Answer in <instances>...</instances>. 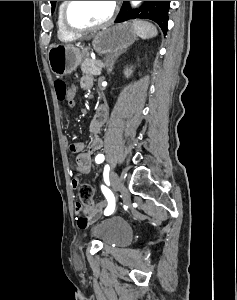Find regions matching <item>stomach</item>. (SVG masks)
Returning a JSON list of instances; mask_svg holds the SVG:
<instances>
[{"instance_id":"0dacf381","label":"stomach","mask_w":237,"mask_h":300,"mask_svg":"<svg viewBox=\"0 0 237 300\" xmlns=\"http://www.w3.org/2000/svg\"><path fill=\"white\" fill-rule=\"evenodd\" d=\"M92 47L99 55H111L126 49L136 41V33L131 23H120L108 29H99L91 35ZM89 49H77L73 45H52L48 51L49 67L57 77L70 75L88 57Z\"/></svg>"}]
</instances>
